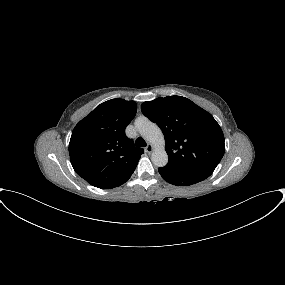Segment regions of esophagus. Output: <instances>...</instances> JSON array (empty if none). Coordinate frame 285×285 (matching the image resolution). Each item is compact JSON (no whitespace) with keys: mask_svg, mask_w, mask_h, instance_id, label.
Segmentation results:
<instances>
[{"mask_svg":"<svg viewBox=\"0 0 285 285\" xmlns=\"http://www.w3.org/2000/svg\"><path fill=\"white\" fill-rule=\"evenodd\" d=\"M145 151L147 153H151L153 151V145L152 144H148L147 147L145 148Z\"/></svg>","mask_w":285,"mask_h":285,"instance_id":"34e87169","label":"esophagus"}]
</instances>
